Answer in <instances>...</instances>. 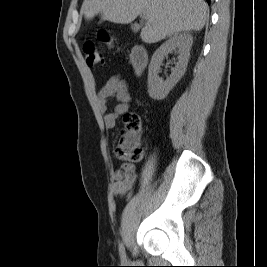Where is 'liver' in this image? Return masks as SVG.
I'll return each mask as SVG.
<instances>
[{
  "mask_svg": "<svg viewBox=\"0 0 267 267\" xmlns=\"http://www.w3.org/2000/svg\"><path fill=\"white\" fill-rule=\"evenodd\" d=\"M86 20L98 13L103 20L128 24L141 17V39L156 43L183 31H200L208 17L203 0H84Z\"/></svg>",
  "mask_w": 267,
  "mask_h": 267,
  "instance_id": "obj_1",
  "label": "liver"
}]
</instances>
